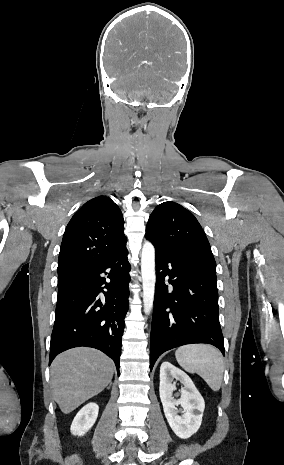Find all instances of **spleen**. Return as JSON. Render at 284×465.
Instances as JSON below:
<instances>
[{"label": "spleen", "instance_id": "spleen-1", "mask_svg": "<svg viewBox=\"0 0 284 465\" xmlns=\"http://www.w3.org/2000/svg\"><path fill=\"white\" fill-rule=\"evenodd\" d=\"M176 361L187 373L200 375L212 391H219L222 385L223 357L210 345H185L175 353Z\"/></svg>", "mask_w": 284, "mask_h": 465}]
</instances>
